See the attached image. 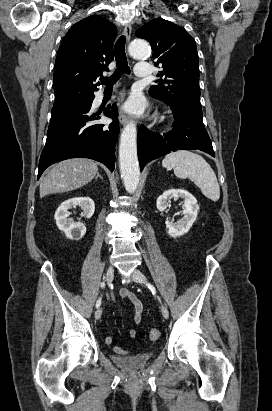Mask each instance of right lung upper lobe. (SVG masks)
Listing matches in <instances>:
<instances>
[{
    "label": "right lung upper lobe",
    "instance_id": "obj_1",
    "mask_svg": "<svg viewBox=\"0 0 272 411\" xmlns=\"http://www.w3.org/2000/svg\"><path fill=\"white\" fill-rule=\"evenodd\" d=\"M116 27L105 18L89 16L74 24L58 50L53 76L55 103H62L76 94L93 95L94 84L113 60Z\"/></svg>",
    "mask_w": 272,
    "mask_h": 411
}]
</instances>
